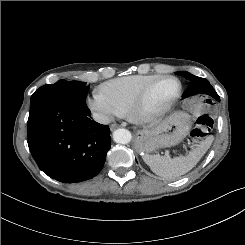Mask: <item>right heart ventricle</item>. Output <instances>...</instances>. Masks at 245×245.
Segmentation results:
<instances>
[{
  "label": "right heart ventricle",
  "instance_id": "obj_1",
  "mask_svg": "<svg viewBox=\"0 0 245 245\" xmlns=\"http://www.w3.org/2000/svg\"><path fill=\"white\" fill-rule=\"evenodd\" d=\"M161 75H132L109 80L100 85L99 91L121 112L128 114L139 93Z\"/></svg>",
  "mask_w": 245,
  "mask_h": 245
}]
</instances>
